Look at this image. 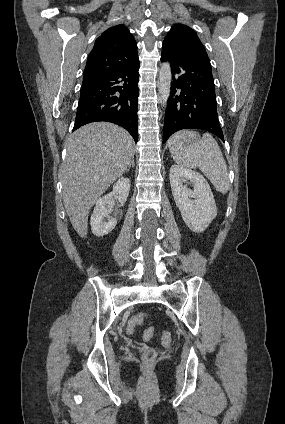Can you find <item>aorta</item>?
<instances>
[{"mask_svg": "<svg viewBox=\"0 0 285 424\" xmlns=\"http://www.w3.org/2000/svg\"><path fill=\"white\" fill-rule=\"evenodd\" d=\"M171 80H172V74H171L170 64L168 62H164L162 63L160 71H159V83H158L159 100L161 105L163 106H166L168 98L170 96Z\"/></svg>", "mask_w": 285, "mask_h": 424, "instance_id": "762f6f07", "label": "aorta"}]
</instances>
